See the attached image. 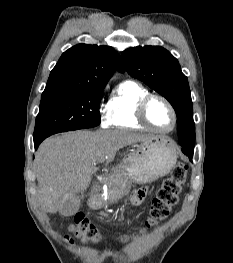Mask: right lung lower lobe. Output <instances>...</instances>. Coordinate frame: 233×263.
<instances>
[{"label":"right lung lower lobe","instance_id":"obj_1","mask_svg":"<svg viewBox=\"0 0 233 263\" xmlns=\"http://www.w3.org/2000/svg\"><path fill=\"white\" fill-rule=\"evenodd\" d=\"M44 139L42 140H37V141H34V146H35V149L38 148L39 144L43 141Z\"/></svg>","mask_w":233,"mask_h":263}]
</instances>
